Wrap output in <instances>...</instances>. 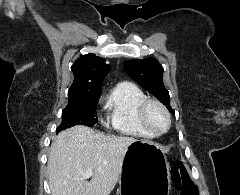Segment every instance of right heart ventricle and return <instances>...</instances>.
Listing matches in <instances>:
<instances>
[{
  "instance_id": "obj_1",
  "label": "right heart ventricle",
  "mask_w": 240,
  "mask_h": 195,
  "mask_svg": "<svg viewBox=\"0 0 240 195\" xmlns=\"http://www.w3.org/2000/svg\"><path fill=\"white\" fill-rule=\"evenodd\" d=\"M146 99L143 91L128 82L118 84L106 102L107 121L104 125L120 136L151 139L155 135L139 120V105Z\"/></svg>"
}]
</instances>
